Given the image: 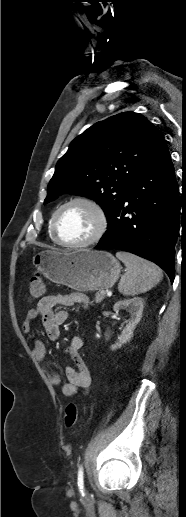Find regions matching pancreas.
I'll return each instance as SVG.
<instances>
[{"instance_id": "pancreas-1", "label": "pancreas", "mask_w": 186, "mask_h": 517, "mask_svg": "<svg viewBox=\"0 0 186 517\" xmlns=\"http://www.w3.org/2000/svg\"><path fill=\"white\" fill-rule=\"evenodd\" d=\"M104 298H105V294L101 293V291L97 292L95 294V302L96 303H100Z\"/></svg>"}]
</instances>
